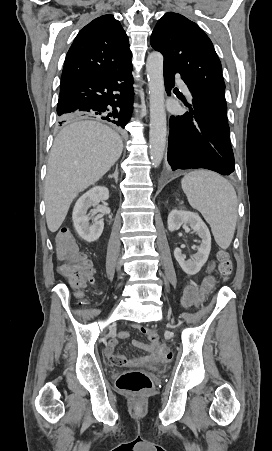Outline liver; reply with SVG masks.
Masks as SVG:
<instances>
[{"mask_svg": "<svg viewBox=\"0 0 272 451\" xmlns=\"http://www.w3.org/2000/svg\"><path fill=\"white\" fill-rule=\"evenodd\" d=\"M122 150L119 134L100 122L73 116L64 126L54 140L44 186L50 231L59 229L74 198L94 186L119 160Z\"/></svg>", "mask_w": 272, "mask_h": 451, "instance_id": "6515ba94", "label": "liver"}]
</instances>
